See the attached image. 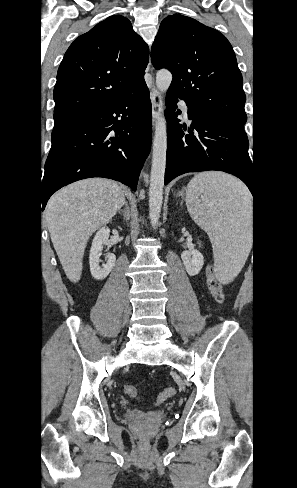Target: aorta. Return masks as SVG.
I'll list each match as a JSON object with an SVG mask.
<instances>
[{
  "label": "aorta",
  "mask_w": 297,
  "mask_h": 488,
  "mask_svg": "<svg viewBox=\"0 0 297 488\" xmlns=\"http://www.w3.org/2000/svg\"><path fill=\"white\" fill-rule=\"evenodd\" d=\"M172 82V74L168 70H160L156 74V86L160 95L166 94ZM167 127L164 107L161 103L157 115L155 135L153 139L152 167L149 188V218L155 229L161 213L163 201L164 175L166 168Z\"/></svg>",
  "instance_id": "obj_1"
}]
</instances>
